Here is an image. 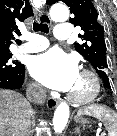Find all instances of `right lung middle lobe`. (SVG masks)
Segmentation results:
<instances>
[{"label":"right lung middle lobe","instance_id":"dd1d6c3e","mask_svg":"<svg viewBox=\"0 0 117 136\" xmlns=\"http://www.w3.org/2000/svg\"><path fill=\"white\" fill-rule=\"evenodd\" d=\"M12 55L9 52L0 53V71L14 72L23 67L17 60L11 59Z\"/></svg>","mask_w":117,"mask_h":136}]
</instances>
